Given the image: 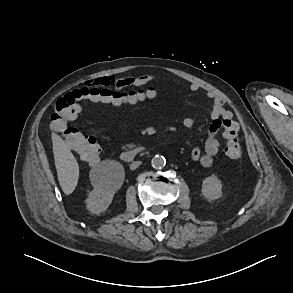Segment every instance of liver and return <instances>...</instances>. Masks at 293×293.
<instances>
[{"mask_svg":"<svg viewBox=\"0 0 293 293\" xmlns=\"http://www.w3.org/2000/svg\"><path fill=\"white\" fill-rule=\"evenodd\" d=\"M53 154L58 181L66 195L71 194L78 183L79 165L69 146L57 134H52Z\"/></svg>","mask_w":293,"mask_h":293,"instance_id":"obj_1","label":"liver"}]
</instances>
